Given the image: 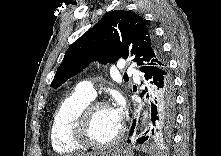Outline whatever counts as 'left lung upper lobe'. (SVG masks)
Here are the masks:
<instances>
[{
	"label": "left lung upper lobe",
	"mask_w": 221,
	"mask_h": 156,
	"mask_svg": "<svg viewBox=\"0 0 221 156\" xmlns=\"http://www.w3.org/2000/svg\"><path fill=\"white\" fill-rule=\"evenodd\" d=\"M129 53L141 71L166 63L160 44L141 16L111 11L68 48L51 86L59 87L91 61L107 64L127 58Z\"/></svg>",
	"instance_id": "1"
}]
</instances>
